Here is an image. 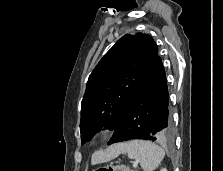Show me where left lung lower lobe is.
Wrapping results in <instances>:
<instances>
[{
  "mask_svg": "<svg viewBox=\"0 0 223 171\" xmlns=\"http://www.w3.org/2000/svg\"><path fill=\"white\" fill-rule=\"evenodd\" d=\"M114 130L108 145L132 139L170 141L173 138L168 87L159 56Z\"/></svg>",
  "mask_w": 223,
  "mask_h": 171,
  "instance_id": "1",
  "label": "left lung lower lobe"
}]
</instances>
